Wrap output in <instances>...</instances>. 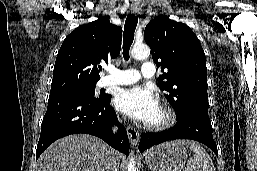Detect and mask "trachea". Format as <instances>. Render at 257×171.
I'll return each instance as SVG.
<instances>
[{
	"instance_id": "1",
	"label": "trachea",
	"mask_w": 257,
	"mask_h": 171,
	"mask_svg": "<svg viewBox=\"0 0 257 171\" xmlns=\"http://www.w3.org/2000/svg\"><path fill=\"white\" fill-rule=\"evenodd\" d=\"M138 23V18L129 14L125 21L123 34V56L125 60L129 59V50L134 40V33Z\"/></svg>"
}]
</instances>
